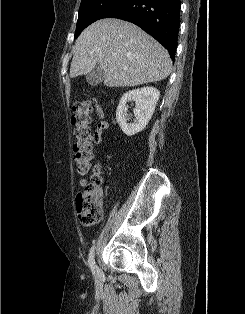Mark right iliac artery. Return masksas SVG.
<instances>
[{"instance_id": "obj_1", "label": "right iliac artery", "mask_w": 245, "mask_h": 314, "mask_svg": "<svg viewBox=\"0 0 245 314\" xmlns=\"http://www.w3.org/2000/svg\"><path fill=\"white\" fill-rule=\"evenodd\" d=\"M94 255H95V246H92L89 252L88 265L91 268V271L93 272V274H95V268H96Z\"/></svg>"}]
</instances>
